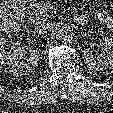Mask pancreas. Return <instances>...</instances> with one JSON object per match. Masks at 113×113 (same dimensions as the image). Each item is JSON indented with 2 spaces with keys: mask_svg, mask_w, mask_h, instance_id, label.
<instances>
[{
  "mask_svg": "<svg viewBox=\"0 0 113 113\" xmlns=\"http://www.w3.org/2000/svg\"><path fill=\"white\" fill-rule=\"evenodd\" d=\"M46 5L42 4L41 2L33 3L29 6V19L34 24H39L43 21H46L48 19V14L45 10Z\"/></svg>",
  "mask_w": 113,
  "mask_h": 113,
  "instance_id": "pancreas-1",
  "label": "pancreas"
}]
</instances>
